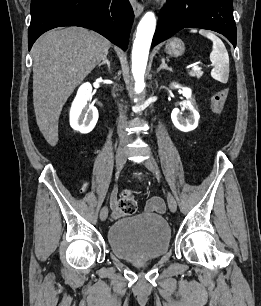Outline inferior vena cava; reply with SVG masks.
<instances>
[{
	"instance_id": "inferior-vena-cava-1",
	"label": "inferior vena cava",
	"mask_w": 261,
	"mask_h": 306,
	"mask_svg": "<svg viewBox=\"0 0 261 306\" xmlns=\"http://www.w3.org/2000/svg\"><path fill=\"white\" fill-rule=\"evenodd\" d=\"M125 122H126V118L123 115V113H121L120 117H119V125H118V133H119L120 136L125 134V132H124Z\"/></svg>"
}]
</instances>
